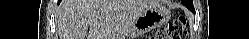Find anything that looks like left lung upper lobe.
<instances>
[{
  "mask_svg": "<svg viewBox=\"0 0 249 39\" xmlns=\"http://www.w3.org/2000/svg\"><path fill=\"white\" fill-rule=\"evenodd\" d=\"M182 3H183L188 9H192V0H182Z\"/></svg>",
  "mask_w": 249,
  "mask_h": 39,
  "instance_id": "1",
  "label": "left lung upper lobe"
}]
</instances>
